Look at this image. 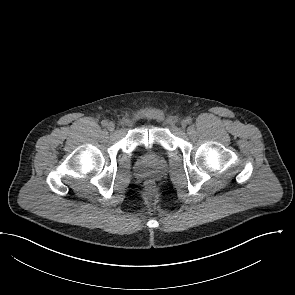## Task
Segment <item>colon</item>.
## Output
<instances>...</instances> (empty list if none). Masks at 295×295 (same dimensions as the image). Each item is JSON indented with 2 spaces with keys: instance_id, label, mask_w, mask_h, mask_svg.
Instances as JSON below:
<instances>
[{
  "instance_id": "1",
  "label": "colon",
  "mask_w": 295,
  "mask_h": 295,
  "mask_svg": "<svg viewBox=\"0 0 295 295\" xmlns=\"http://www.w3.org/2000/svg\"><path fill=\"white\" fill-rule=\"evenodd\" d=\"M153 183L152 182H148L147 183V188L149 189V190H152L153 189Z\"/></svg>"
}]
</instances>
